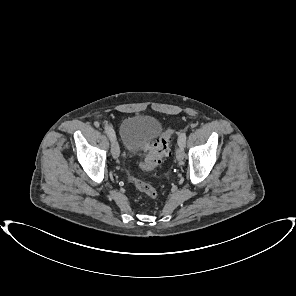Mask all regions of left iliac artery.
Listing matches in <instances>:
<instances>
[{
    "label": "left iliac artery",
    "instance_id": "1",
    "mask_svg": "<svg viewBox=\"0 0 296 296\" xmlns=\"http://www.w3.org/2000/svg\"><path fill=\"white\" fill-rule=\"evenodd\" d=\"M185 142H186V133L185 132H182L180 133L179 135V138H178V144L180 145H185Z\"/></svg>",
    "mask_w": 296,
    "mask_h": 296
}]
</instances>
